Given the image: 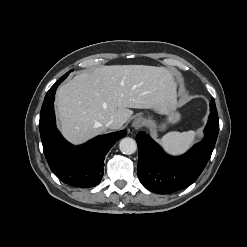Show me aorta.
<instances>
[{
	"label": "aorta",
	"mask_w": 247,
	"mask_h": 247,
	"mask_svg": "<svg viewBox=\"0 0 247 247\" xmlns=\"http://www.w3.org/2000/svg\"><path fill=\"white\" fill-rule=\"evenodd\" d=\"M119 149L123 154L131 155L137 150L136 141L130 137H125L120 141Z\"/></svg>",
	"instance_id": "1"
}]
</instances>
